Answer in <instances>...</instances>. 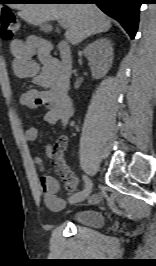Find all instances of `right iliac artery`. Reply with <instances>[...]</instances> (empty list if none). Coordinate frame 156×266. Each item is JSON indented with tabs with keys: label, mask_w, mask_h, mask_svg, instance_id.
Segmentation results:
<instances>
[{
	"label": "right iliac artery",
	"mask_w": 156,
	"mask_h": 266,
	"mask_svg": "<svg viewBox=\"0 0 156 266\" xmlns=\"http://www.w3.org/2000/svg\"><path fill=\"white\" fill-rule=\"evenodd\" d=\"M83 180L85 181V182H84V185H85V186H88V185H89V182H87V181H88L87 176L84 175V176H83Z\"/></svg>",
	"instance_id": "1"
}]
</instances>
